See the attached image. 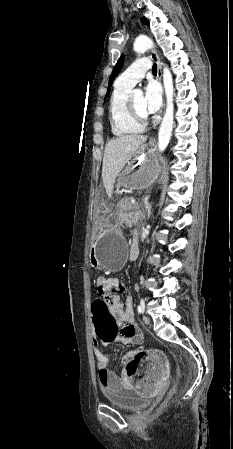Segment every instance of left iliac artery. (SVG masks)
<instances>
[{"mask_svg": "<svg viewBox=\"0 0 233 449\" xmlns=\"http://www.w3.org/2000/svg\"><path fill=\"white\" fill-rule=\"evenodd\" d=\"M138 313L141 314L144 312V301L143 299L140 300V304L138 305Z\"/></svg>", "mask_w": 233, "mask_h": 449, "instance_id": "left-iliac-artery-1", "label": "left iliac artery"}]
</instances>
